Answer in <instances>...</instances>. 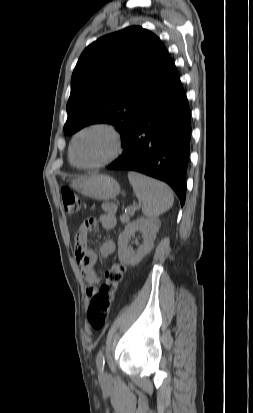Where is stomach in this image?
Listing matches in <instances>:
<instances>
[{
	"instance_id": "1",
	"label": "stomach",
	"mask_w": 253,
	"mask_h": 413,
	"mask_svg": "<svg viewBox=\"0 0 253 413\" xmlns=\"http://www.w3.org/2000/svg\"><path fill=\"white\" fill-rule=\"evenodd\" d=\"M71 186L77 192L95 200H109L120 193L119 183L110 176L93 174L72 181Z\"/></svg>"
}]
</instances>
